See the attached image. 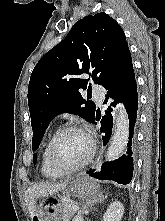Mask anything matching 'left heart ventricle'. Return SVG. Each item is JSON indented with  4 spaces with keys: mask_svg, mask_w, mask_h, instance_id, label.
Listing matches in <instances>:
<instances>
[{
    "mask_svg": "<svg viewBox=\"0 0 165 221\" xmlns=\"http://www.w3.org/2000/svg\"><path fill=\"white\" fill-rule=\"evenodd\" d=\"M90 141L81 131L64 134L56 143L54 156L62 167H72L81 162L89 153Z\"/></svg>",
    "mask_w": 165,
    "mask_h": 221,
    "instance_id": "1",
    "label": "left heart ventricle"
}]
</instances>
